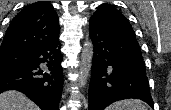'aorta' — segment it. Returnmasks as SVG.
<instances>
[{
    "mask_svg": "<svg viewBox=\"0 0 171 110\" xmlns=\"http://www.w3.org/2000/svg\"><path fill=\"white\" fill-rule=\"evenodd\" d=\"M94 54V47L91 40H87L84 43L82 53H81V62L79 68V77H78V86L84 87L87 83L88 77L90 75L92 60Z\"/></svg>",
    "mask_w": 171,
    "mask_h": 110,
    "instance_id": "1",
    "label": "aorta"
}]
</instances>
